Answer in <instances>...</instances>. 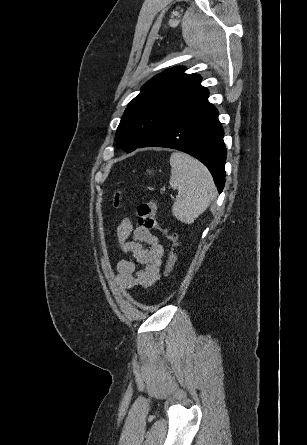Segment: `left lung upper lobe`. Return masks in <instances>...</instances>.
Returning <instances> with one entry per match:
<instances>
[{"label": "left lung upper lobe", "instance_id": "obj_1", "mask_svg": "<svg viewBox=\"0 0 307 445\" xmlns=\"http://www.w3.org/2000/svg\"><path fill=\"white\" fill-rule=\"evenodd\" d=\"M184 67L168 69L143 87L126 108L117 128L116 140L127 152L208 97L197 74H185Z\"/></svg>", "mask_w": 307, "mask_h": 445}]
</instances>
